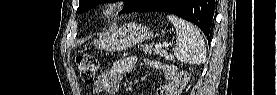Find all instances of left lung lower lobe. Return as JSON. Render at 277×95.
Returning a JSON list of instances; mask_svg holds the SVG:
<instances>
[{
    "instance_id": "0a47b994",
    "label": "left lung lower lobe",
    "mask_w": 277,
    "mask_h": 95,
    "mask_svg": "<svg viewBox=\"0 0 277 95\" xmlns=\"http://www.w3.org/2000/svg\"><path fill=\"white\" fill-rule=\"evenodd\" d=\"M217 4V0H147L134 12H169L196 24L210 41Z\"/></svg>"
}]
</instances>
